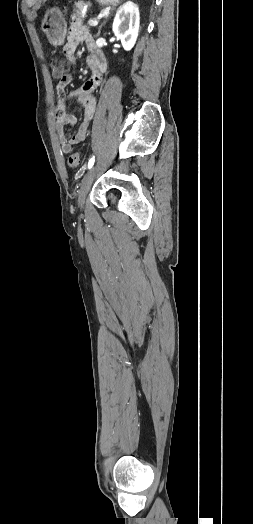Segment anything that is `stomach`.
<instances>
[{
  "label": "stomach",
  "mask_w": 253,
  "mask_h": 524,
  "mask_svg": "<svg viewBox=\"0 0 253 524\" xmlns=\"http://www.w3.org/2000/svg\"><path fill=\"white\" fill-rule=\"evenodd\" d=\"M103 6L117 5L120 0H97ZM42 31L46 34L49 42L54 45H62L67 32V23L60 9H48L44 15L41 25Z\"/></svg>",
  "instance_id": "obj_1"
}]
</instances>
